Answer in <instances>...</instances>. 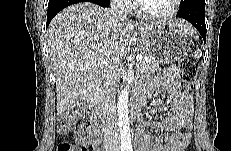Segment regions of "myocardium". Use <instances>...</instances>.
Here are the masks:
<instances>
[{
	"label": "myocardium",
	"instance_id": "myocardium-1",
	"mask_svg": "<svg viewBox=\"0 0 231 151\" xmlns=\"http://www.w3.org/2000/svg\"><path fill=\"white\" fill-rule=\"evenodd\" d=\"M180 0H172V7L171 9L163 14H150L145 12L142 7L140 1L134 2V11L135 13L140 16L141 18L149 21H163L173 17L176 12L178 11Z\"/></svg>",
	"mask_w": 231,
	"mask_h": 151
}]
</instances>
